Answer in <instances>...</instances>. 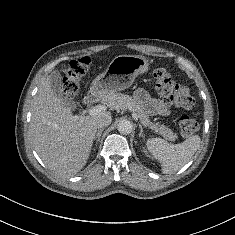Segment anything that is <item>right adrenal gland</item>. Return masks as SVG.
Wrapping results in <instances>:
<instances>
[{
    "instance_id": "right-adrenal-gland-1",
    "label": "right adrenal gland",
    "mask_w": 235,
    "mask_h": 235,
    "mask_svg": "<svg viewBox=\"0 0 235 235\" xmlns=\"http://www.w3.org/2000/svg\"><path fill=\"white\" fill-rule=\"evenodd\" d=\"M104 129H105V128H101V129H99V130L97 131V133H96L95 136H94V140H96L97 142L100 141V137H101V134H102V132L104 131Z\"/></svg>"
}]
</instances>
